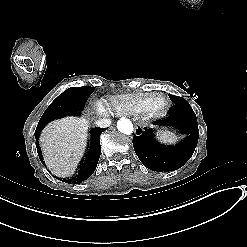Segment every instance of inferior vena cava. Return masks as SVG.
<instances>
[{
	"label": "inferior vena cava",
	"instance_id": "602c4592",
	"mask_svg": "<svg viewBox=\"0 0 247 247\" xmlns=\"http://www.w3.org/2000/svg\"><path fill=\"white\" fill-rule=\"evenodd\" d=\"M112 124V120L110 119H99L96 120L95 126L98 128H107Z\"/></svg>",
	"mask_w": 247,
	"mask_h": 247
}]
</instances>
